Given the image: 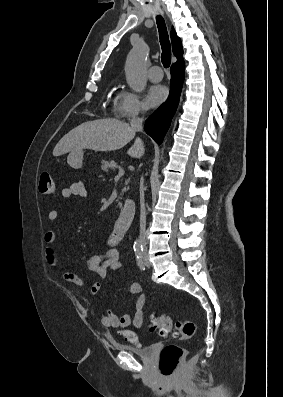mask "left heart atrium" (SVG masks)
Listing matches in <instances>:
<instances>
[{
    "instance_id": "39dd6f15",
    "label": "left heart atrium",
    "mask_w": 283,
    "mask_h": 397,
    "mask_svg": "<svg viewBox=\"0 0 283 397\" xmlns=\"http://www.w3.org/2000/svg\"><path fill=\"white\" fill-rule=\"evenodd\" d=\"M168 95V90L163 85H153L151 86L145 97L146 106L149 108H154L159 106L165 101Z\"/></svg>"
}]
</instances>
